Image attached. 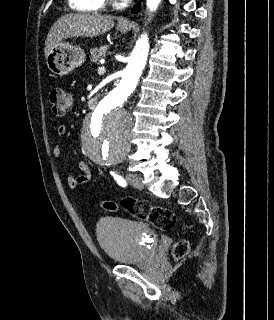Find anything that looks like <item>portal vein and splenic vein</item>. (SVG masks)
I'll use <instances>...</instances> for the list:
<instances>
[{"label": "portal vein and splenic vein", "mask_w": 274, "mask_h": 320, "mask_svg": "<svg viewBox=\"0 0 274 320\" xmlns=\"http://www.w3.org/2000/svg\"><path fill=\"white\" fill-rule=\"evenodd\" d=\"M98 70H105L104 66H101V68H98Z\"/></svg>", "instance_id": "obj_1"}]
</instances>
